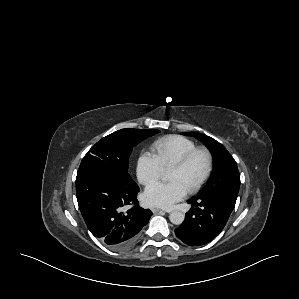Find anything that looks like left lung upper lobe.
I'll use <instances>...</instances> for the list:
<instances>
[{
    "mask_svg": "<svg viewBox=\"0 0 299 299\" xmlns=\"http://www.w3.org/2000/svg\"><path fill=\"white\" fill-rule=\"evenodd\" d=\"M183 134L194 136L203 142L214 157L212 176L208 184L195 198L221 196L235 204L240 187V174L234 158L221 143L207 135L198 132Z\"/></svg>",
    "mask_w": 299,
    "mask_h": 299,
    "instance_id": "left-lung-upper-lobe-1",
    "label": "left lung upper lobe"
}]
</instances>
